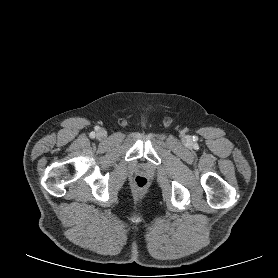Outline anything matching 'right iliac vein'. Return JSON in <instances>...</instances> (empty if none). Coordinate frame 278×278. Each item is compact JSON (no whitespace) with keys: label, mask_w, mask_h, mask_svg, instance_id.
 Listing matches in <instances>:
<instances>
[{"label":"right iliac vein","mask_w":278,"mask_h":278,"mask_svg":"<svg viewBox=\"0 0 278 278\" xmlns=\"http://www.w3.org/2000/svg\"><path fill=\"white\" fill-rule=\"evenodd\" d=\"M98 136H99L100 138H105V137H106V132L103 131V130H101V131L98 133Z\"/></svg>","instance_id":"obj_1"}]
</instances>
